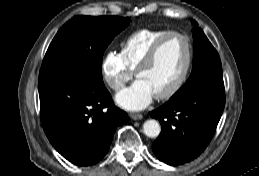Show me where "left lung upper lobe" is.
<instances>
[{"mask_svg": "<svg viewBox=\"0 0 259 176\" xmlns=\"http://www.w3.org/2000/svg\"><path fill=\"white\" fill-rule=\"evenodd\" d=\"M193 25L197 23L192 20ZM193 69L186 84L170 99H175L203 88L224 91L220 57L203 31L193 28Z\"/></svg>", "mask_w": 259, "mask_h": 176, "instance_id": "obj_1", "label": "left lung upper lobe"}]
</instances>
